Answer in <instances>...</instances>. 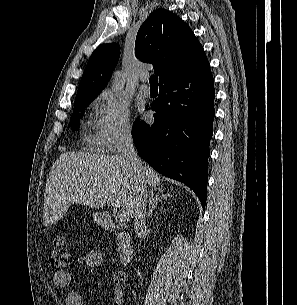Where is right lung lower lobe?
<instances>
[{
    "mask_svg": "<svg viewBox=\"0 0 297 305\" xmlns=\"http://www.w3.org/2000/svg\"><path fill=\"white\" fill-rule=\"evenodd\" d=\"M154 123L136 120L132 135L141 157L162 175L189 186L205 207L215 98L210 65L159 84Z\"/></svg>",
    "mask_w": 297,
    "mask_h": 305,
    "instance_id": "98d812e1",
    "label": "right lung lower lobe"
}]
</instances>
